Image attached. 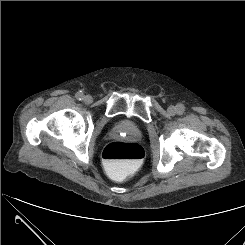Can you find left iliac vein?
<instances>
[{
  "instance_id": "1",
  "label": "left iliac vein",
  "mask_w": 245,
  "mask_h": 245,
  "mask_svg": "<svg viewBox=\"0 0 245 245\" xmlns=\"http://www.w3.org/2000/svg\"><path fill=\"white\" fill-rule=\"evenodd\" d=\"M167 111L170 115H175L177 113V108L171 105L168 107Z\"/></svg>"
}]
</instances>
